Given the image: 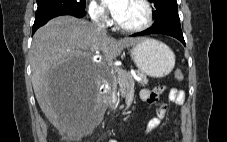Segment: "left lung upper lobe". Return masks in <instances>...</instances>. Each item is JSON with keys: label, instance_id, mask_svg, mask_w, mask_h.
I'll list each match as a JSON object with an SVG mask.
<instances>
[{"label": "left lung upper lobe", "instance_id": "5c2ea615", "mask_svg": "<svg viewBox=\"0 0 227 142\" xmlns=\"http://www.w3.org/2000/svg\"><path fill=\"white\" fill-rule=\"evenodd\" d=\"M154 3V25H172L180 27V18L176 0H151Z\"/></svg>", "mask_w": 227, "mask_h": 142}]
</instances>
